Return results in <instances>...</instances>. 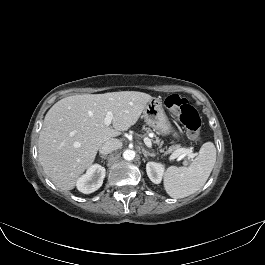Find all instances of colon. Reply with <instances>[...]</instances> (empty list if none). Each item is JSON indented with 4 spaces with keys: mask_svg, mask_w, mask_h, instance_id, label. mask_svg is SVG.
<instances>
[{
    "mask_svg": "<svg viewBox=\"0 0 265 265\" xmlns=\"http://www.w3.org/2000/svg\"><path fill=\"white\" fill-rule=\"evenodd\" d=\"M165 105L178 117L189 138L194 142H198L200 140L201 119L197 110L189 101L184 97L173 94L165 99Z\"/></svg>",
    "mask_w": 265,
    "mask_h": 265,
    "instance_id": "1",
    "label": "colon"
}]
</instances>
